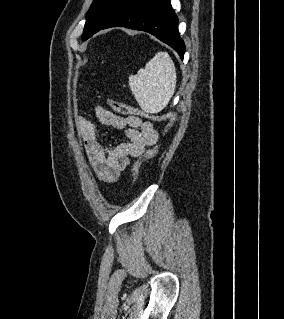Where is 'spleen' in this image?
I'll return each mask as SVG.
<instances>
[{
	"mask_svg": "<svg viewBox=\"0 0 284 319\" xmlns=\"http://www.w3.org/2000/svg\"><path fill=\"white\" fill-rule=\"evenodd\" d=\"M175 65L167 52H158L145 68L129 76L130 89L142 110L158 113L169 103L176 87Z\"/></svg>",
	"mask_w": 284,
	"mask_h": 319,
	"instance_id": "3e777b00",
	"label": "spleen"
}]
</instances>
